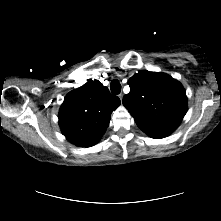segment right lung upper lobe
<instances>
[{
    "label": "right lung upper lobe",
    "instance_id": "cb5924a9",
    "mask_svg": "<svg viewBox=\"0 0 221 221\" xmlns=\"http://www.w3.org/2000/svg\"><path fill=\"white\" fill-rule=\"evenodd\" d=\"M120 105L98 80H89L68 93L59 111L63 135L81 147L95 145L105 133L111 113Z\"/></svg>",
    "mask_w": 221,
    "mask_h": 221
}]
</instances>
